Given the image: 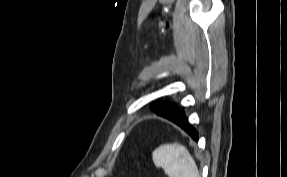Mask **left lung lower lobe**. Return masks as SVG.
Segmentation results:
<instances>
[{"label": "left lung lower lobe", "instance_id": "obj_1", "mask_svg": "<svg viewBox=\"0 0 287 177\" xmlns=\"http://www.w3.org/2000/svg\"><path fill=\"white\" fill-rule=\"evenodd\" d=\"M164 118H167L168 120H171L172 122L180 126L186 133H188L192 137V139L196 141L198 140V134L196 130L189 124L183 112L178 111L175 114L165 116Z\"/></svg>", "mask_w": 287, "mask_h": 177}]
</instances>
